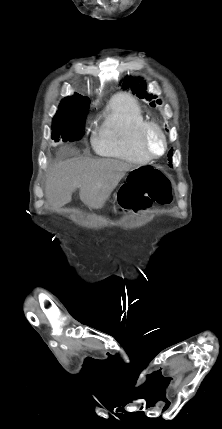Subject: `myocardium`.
<instances>
[{
    "mask_svg": "<svg viewBox=\"0 0 222 429\" xmlns=\"http://www.w3.org/2000/svg\"><path fill=\"white\" fill-rule=\"evenodd\" d=\"M155 131L157 132L160 137L162 138L163 141V151L161 154H155L153 153L149 146H148V136L150 134V132ZM140 146L141 149L143 150V152L152 160V159H159L161 157H163L167 150H168V140H167V136L165 134V132L163 131V129L155 122L153 121H147L141 130L140 133Z\"/></svg>",
    "mask_w": 222,
    "mask_h": 429,
    "instance_id": "obj_1",
    "label": "myocardium"
}]
</instances>
